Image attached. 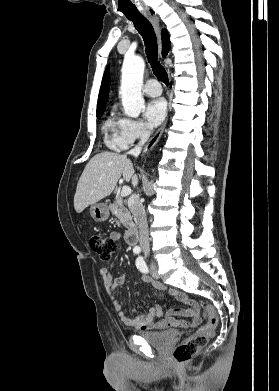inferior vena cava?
<instances>
[{
	"mask_svg": "<svg viewBox=\"0 0 279 391\" xmlns=\"http://www.w3.org/2000/svg\"><path fill=\"white\" fill-rule=\"evenodd\" d=\"M149 136H150V130L148 129L144 130L140 135V141L138 145L132 150H130L128 154L137 157L142 150V146L149 139ZM132 184L134 187L137 186L138 184V178L136 175L132 177ZM129 209L131 210L134 216V220L138 225L140 247L144 252V254L147 255L150 252L148 224H147L145 209L140 201L139 194L135 193L131 196L129 200Z\"/></svg>",
	"mask_w": 279,
	"mask_h": 391,
	"instance_id": "602c4592",
	"label": "inferior vena cava"
}]
</instances>
